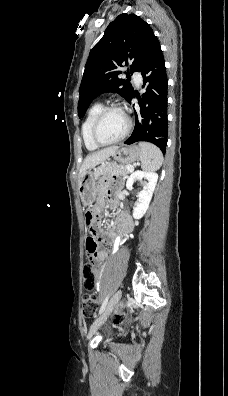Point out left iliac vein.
Wrapping results in <instances>:
<instances>
[{
  "label": "left iliac vein",
  "mask_w": 228,
  "mask_h": 396,
  "mask_svg": "<svg viewBox=\"0 0 228 396\" xmlns=\"http://www.w3.org/2000/svg\"><path fill=\"white\" fill-rule=\"evenodd\" d=\"M121 297H122V290L120 289L112 296L105 312L92 324L89 333L87 335V340L91 339V337L96 333V331L104 324V322L107 320L111 312L117 307Z\"/></svg>",
  "instance_id": "1"
}]
</instances>
